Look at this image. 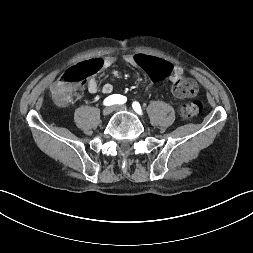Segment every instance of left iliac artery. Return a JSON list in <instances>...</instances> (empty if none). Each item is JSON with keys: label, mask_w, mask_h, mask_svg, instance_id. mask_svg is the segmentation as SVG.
<instances>
[{"label": "left iliac artery", "mask_w": 253, "mask_h": 253, "mask_svg": "<svg viewBox=\"0 0 253 253\" xmlns=\"http://www.w3.org/2000/svg\"><path fill=\"white\" fill-rule=\"evenodd\" d=\"M132 107L133 109L138 113V114H142V110H141V106L138 102H133L132 103Z\"/></svg>", "instance_id": "obj_1"}]
</instances>
